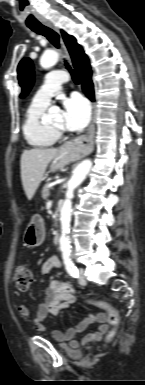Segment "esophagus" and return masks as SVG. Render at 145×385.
<instances>
[{
  "label": "esophagus",
  "instance_id": "34e87169",
  "mask_svg": "<svg viewBox=\"0 0 145 385\" xmlns=\"http://www.w3.org/2000/svg\"><path fill=\"white\" fill-rule=\"evenodd\" d=\"M44 25L51 28L55 32L59 33V29L50 21H44ZM61 45L64 52V56L67 60L70 61V56L68 50L61 39ZM94 135H95V124L94 119H92L88 131L85 135L75 138L74 140L68 142L66 147L70 150L71 153L77 154L80 157H84L91 153L94 149Z\"/></svg>",
  "mask_w": 145,
  "mask_h": 385
}]
</instances>
